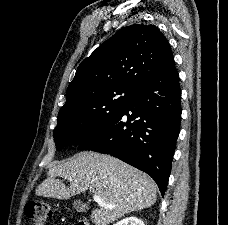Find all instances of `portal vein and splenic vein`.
<instances>
[{
	"mask_svg": "<svg viewBox=\"0 0 228 225\" xmlns=\"http://www.w3.org/2000/svg\"><path fill=\"white\" fill-rule=\"evenodd\" d=\"M93 201H96V203H100V201H102V199H100V197H98V195H94ZM108 207H109V209H112V207H115V205H108Z\"/></svg>",
	"mask_w": 228,
	"mask_h": 225,
	"instance_id": "1",
	"label": "portal vein and splenic vein"
}]
</instances>
